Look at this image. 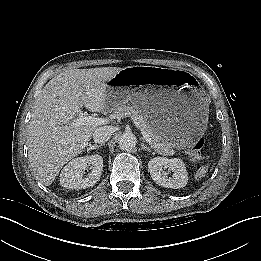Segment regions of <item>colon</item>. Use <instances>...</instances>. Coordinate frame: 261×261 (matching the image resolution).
<instances>
[{
  "mask_svg": "<svg viewBox=\"0 0 261 261\" xmlns=\"http://www.w3.org/2000/svg\"><path fill=\"white\" fill-rule=\"evenodd\" d=\"M203 146V140L198 139L192 147V157L196 160H200L202 158L201 149Z\"/></svg>",
  "mask_w": 261,
  "mask_h": 261,
  "instance_id": "obj_1",
  "label": "colon"
}]
</instances>
